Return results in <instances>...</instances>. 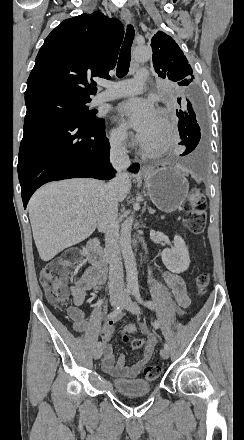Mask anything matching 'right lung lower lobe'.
<instances>
[{"mask_svg":"<svg viewBox=\"0 0 244 440\" xmlns=\"http://www.w3.org/2000/svg\"><path fill=\"white\" fill-rule=\"evenodd\" d=\"M109 151L102 118L86 124L50 111H27L17 166L24 208L47 182L113 178ZM130 170L138 172L139 165L133 164Z\"/></svg>","mask_w":244,"mask_h":440,"instance_id":"98d812e1","label":"right lung lower lobe"}]
</instances>
